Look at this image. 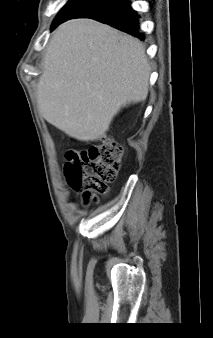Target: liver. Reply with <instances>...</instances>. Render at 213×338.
<instances>
[{
	"mask_svg": "<svg viewBox=\"0 0 213 338\" xmlns=\"http://www.w3.org/2000/svg\"><path fill=\"white\" fill-rule=\"evenodd\" d=\"M143 44L108 25L74 19L53 33L37 84L42 117L80 141H96L113 117L148 95Z\"/></svg>",
	"mask_w": 213,
	"mask_h": 338,
	"instance_id": "1",
	"label": "liver"
}]
</instances>
